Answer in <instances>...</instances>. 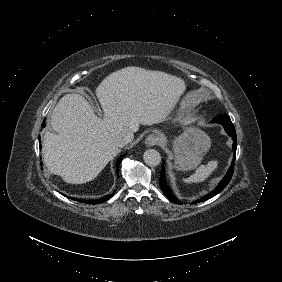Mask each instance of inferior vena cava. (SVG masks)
Returning a JSON list of instances; mask_svg holds the SVG:
<instances>
[{
    "label": "inferior vena cava",
    "instance_id": "602c4592",
    "mask_svg": "<svg viewBox=\"0 0 282 282\" xmlns=\"http://www.w3.org/2000/svg\"><path fill=\"white\" fill-rule=\"evenodd\" d=\"M134 138L133 132L129 128L122 129L114 136V142L118 147H124Z\"/></svg>",
    "mask_w": 282,
    "mask_h": 282
}]
</instances>
